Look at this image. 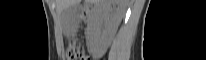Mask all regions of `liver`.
I'll use <instances>...</instances> for the list:
<instances>
[{"instance_id":"liver-1","label":"liver","mask_w":206,"mask_h":60,"mask_svg":"<svg viewBox=\"0 0 206 60\" xmlns=\"http://www.w3.org/2000/svg\"><path fill=\"white\" fill-rule=\"evenodd\" d=\"M75 1L81 2V0H55L57 12L59 14L62 11L69 7L70 5L74 4ZM86 3H94L96 0H84ZM104 3L111 4L109 0H104ZM126 0H115L114 5L116 9L109 13L111 15L112 20V34H114L123 18L125 8H126Z\"/></svg>"}]
</instances>
